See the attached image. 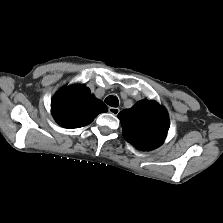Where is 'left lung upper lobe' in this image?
Listing matches in <instances>:
<instances>
[{
	"mask_svg": "<svg viewBox=\"0 0 223 223\" xmlns=\"http://www.w3.org/2000/svg\"><path fill=\"white\" fill-rule=\"evenodd\" d=\"M125 140L140 150H152L165 140L167 111L155 101L143 100L118 114Z\"/></svg>",
	"mask_w": 223,
	"mask_h": 223,
	"instance_id": "5c2ea615",
	"label": "left lung upper lobe"
}]
</instances>
